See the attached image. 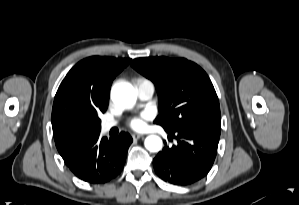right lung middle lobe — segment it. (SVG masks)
<instances>
[{
	"instance_id": "1",
	"label": "right lung middle lobe",
	"mask_w": 299,
	"mask_h": 205,
	"mask_svg": "<svg viewBox=\"0 0 299 205\" xmlns=\"http://www.w3.org/2000/svg\"><path fill=\"white\" fill-rule=\"evenodd\" d=\"M100 122L99 117L74 118L66 124V133L72 141L78 143L87 137L100 133Z\"/></svg>"
}]
</instances>
